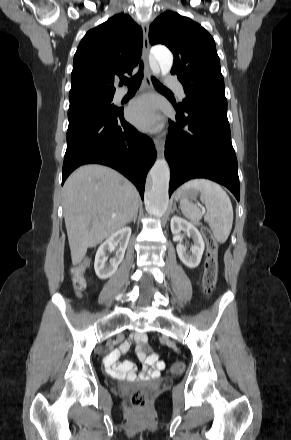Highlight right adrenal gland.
I'll use <instances>...</instances> for the list:
<instances>
[{
    "instance_id": "2a0ac1e0",
    "label": "right adrenal gland",
    "mask_w": 291,
    "mask_h": 440,
    "mask_svg": "<svg viewBox=\"0 0 291 440\" xmlns=\"http://www.w3.org/2000/svg\"><path fill=\"white\" fill-rule=\"evenodd\" d=\"M136 219H137V214L133 217V219L131 221H133V223H136Z\"/></svg>"
}]
</instances>
